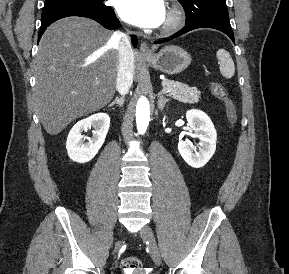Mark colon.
<instances>
[{"mask_svg":"<svg viewBox=\"0 0 289 274\" xmlns=\"http://www.w3.org/2000/svg\"><path fill=\"white\" fill-rule=\"evenodd\" d=\"M211 93L215 98L223 102L226 111V118L231 126L237 122V109L230 98L227 89L219 82L212 81L209 84ZM122 269L132 273L142 269V263L137 257H127L121 263Z\"/></svg>","mask_w":289,"mask_h":274,"instance_id":"1","label":"colon"}]
</instances>
